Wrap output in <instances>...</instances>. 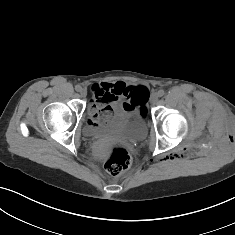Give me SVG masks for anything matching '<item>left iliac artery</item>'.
<instances>
[{
    "label": "left iliac artery",
    "instance_id": "44dca946",
    "mask_svg": "<svg viewBox=\"0 0 235 235\" xmlns=\"http://www.w3.org/2000/svg\"><path fill=\"white\" fill-rule=\"evenodd\" d=\"M157 94H158L159 97H162V96L165 94V92H164V90L160 89V90L157 92Z\"/></svg>",
    "mask_w": 235,
    "mask_h": 235
}]
</instances>
